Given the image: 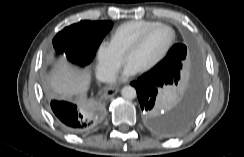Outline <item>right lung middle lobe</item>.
I'll list each match as a JSON object with an SVG mask.
<instances>
[{
  "label": "right lung middle lobe",
  "instance_id": "dd1d6c3e",
  "mask_svg": "<svg viewBox=\"0 0 244 157\" xmlns=\"http://www.w3.org/2000/svg\"><path fill=\"white\" fill-rule=\"evenodd\" d=\"M112 26L110 21H80L64 28L55 36L54 48L59 54L64 52L69 61L86 65L92 61L97 48ZM84 109L93 114V121L100 116L101 107L97 104H89Z\"/></svg>",
  "mask_w": 244,
  "mask_h": 157
}]
</instances>
